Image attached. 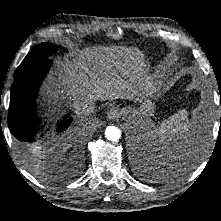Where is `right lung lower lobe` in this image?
Returning a JSON list of instances; mask_svg holds the SVG:
<instances>
[{
    "label": "right lung lower lobe",
    "mask_w": 221,
    "mask_h": 221,
    "mask_svg": "<svg viewBox=\"0 0 221 221\" xmlns=\"http://www.w3.org/2000/svg\"><path fill=\"white\" fill-rule=\"evenodd\" d=\"M51 63L49 58L45 59L14 77L10 93L8 126L13 136L24 146H30L39 129L40 121L36 117L35 100ZM71 121L68 115L65 116L60 122L58 131L65 130Z\"/></svg>",
    "instance_id": "98d812e1"
}]
</instances>
